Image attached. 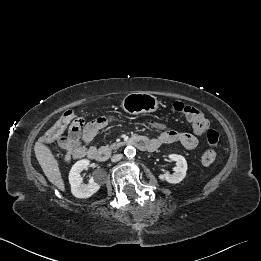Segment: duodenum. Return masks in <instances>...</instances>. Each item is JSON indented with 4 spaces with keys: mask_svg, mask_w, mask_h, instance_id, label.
Returning a JSON list of instances; mask_svg holds the SVG:
<instances>
[{
    "mask_svg": "<svg viewBox=\"0 0 261 261\" xmlns=\"http://www.w3.org/2000/svg\"><path fill=\"white\" fill-rule=\"evenodd\" d=\"M125 144H132L138 149L142 151H154L157 148V145L150 141L149 139L142 137V136H134L129 138L127 141L123 142L121 146ZM112 154V149L109 147L102 148L96 151H88L87 156L91 159H94L99 162H104L110 158Z\"/></svg>",
    "mask_w": 261,
    "mask_h": 261,
    "instance_id": "410a0bca",
    "label": "duodenum"
}]
</instances>
